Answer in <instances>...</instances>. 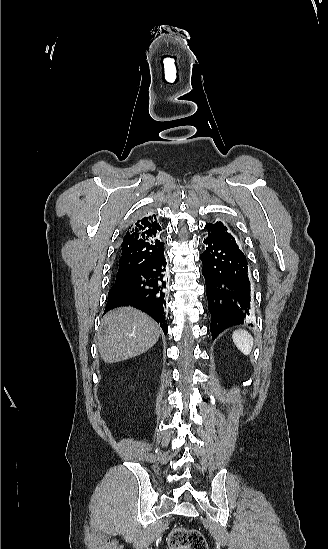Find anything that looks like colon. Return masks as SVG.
I'll return each instance as SVG.
<instances>
[{
  "label": "colon",
  "instance_id": "colon-1",
  "mask_svg": "<svg viewBox=\"0 0 328 549\" xmlns=\"http://www.w3.org/2000/svg\"><path fill=\"white\" fill-rule=\"evenodd\" d=\"M171 549H208L204 535L195 529L175 527L168 536Z\"/></svg>",
  "mask_w": 328,
  "mask_h": 549
}]
</instances>
